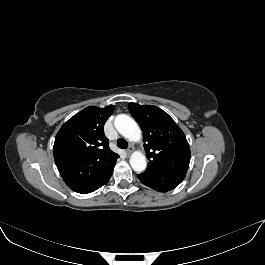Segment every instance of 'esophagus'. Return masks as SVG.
<instances>
[{
  "label": "esophagus",
  "mask_w": 265,
  "mask_h": 265,
  "mask_svg": "<svg viewBox=\"0 0 265 265\" xmlns=\"http://www.w3.org/2000/svg\"><path fill=\"white\" fill-rule=\"evenodd\" d=\"M127 154L130 155L133 152V146H130L127 150H126Z\"/></svg>",
  "instance_id": "obj_1"
}]
</instances>
